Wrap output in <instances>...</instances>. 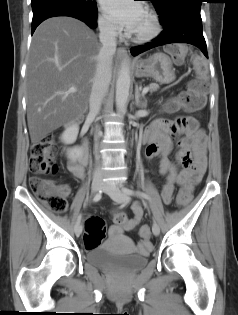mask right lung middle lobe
Masks as SVG:
<instances>
[{"label":"right lung middle lobe","instance_id":"dd1d6c3e","mask_svg":"<svg viewBox=\"0 0 238 315\" xmlns=\"http://www.w3.org/2000/svg\"><path fill=\"white\" fill-rule=\"evenodd\" d=\"M71 1L77 2L82 5H86V6H94L96 4V2L93 0H71Z\"/></svg>","mask_w":238,"mask_h":315}]
</instances>
